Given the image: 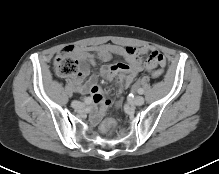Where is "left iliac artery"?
<instances>
[{
  "instance_id": "left-iliac-artery-1",
  "label": "left iliac artery",
  "mask_w": 219,
  "mask_h": 174,
  "mask_svg": "<svg viewBox=\"0 0 219 174\" xmlns=\"http://www.w3.org/2000/svg\"><path fill=\"white\" fill-rule=\"evenodd\" d=\"M144 90L142 88L138 89L139 94H143Z\"/></svg>"
}]
</instances>
